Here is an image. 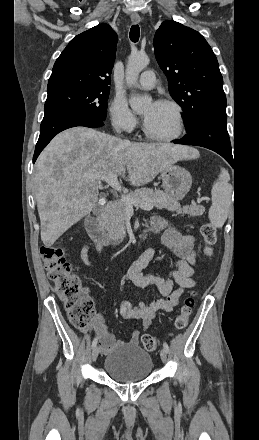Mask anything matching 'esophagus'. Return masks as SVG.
Here are the masks:
<instances>
[{
  "mask_svg": "<svg viewBox=\"0 0 259 440\" xmlns=\"http://www.w3.org/2000/svg\"><path fill=\"white\" fill-rule=\"evenodd\" d=\"M131 21L134 24H137L140 22V16L138 14H132L131 15Z\"/></svg>",
  "mask_w": 259,
  "mask_h": 440,
  "instance_id": "34e87169",
  "label": "esophagus"
}]
</instances>
